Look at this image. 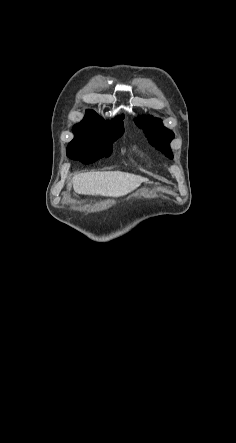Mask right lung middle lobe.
Segmentation results:
<instances>
[{
	"label": "right lung middle lobe",
	"mask_w": 236,
	"mask_h": 443,
	"mask_svg": "<svg viewBox=\"0 0 236 443\" xmlns=\"http://www.w3.org/2000/svg\"><path fill=\"white\" fill-rule=\"evenodd\" d=\"M123 131V122L107 124L100 119L82 120L74 125L75 137L67 149L87 146L112 151V143L122 135Z\"/></svg>",
	"instance_id": "right-lung-middle-lobe-1"
}]
</instances>
